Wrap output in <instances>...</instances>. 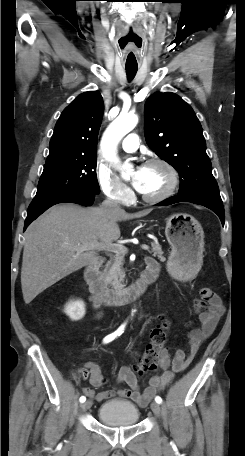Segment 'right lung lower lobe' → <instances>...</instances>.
I'll list each match as a JSON object with an SVG mask.
<instances>
[{"label":"right lung lower lobe","instance_id":"right-lung-lower-lobe-1","mask_svg":"<svg viewBox=\"0 0 245 456\" xmlns=\"http://www.w3.org/2000/svg\"><path fill=\"white\" fill-rule=\"evenodd\" d=\"M94 196H95V194L73 193V194L59 195V196L44 199L41 201H33L28 208V213H27V218L25 220L24 230L27 228V226L33 220H35L45 210H47L49 207H51L55 204L70 202V203H76V204H80V205H84V206H91L94 202Z\"/></svg>","mask_w":245,"mask_h":456}]
</instances>
